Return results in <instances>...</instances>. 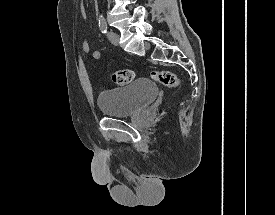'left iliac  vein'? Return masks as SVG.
<instances>
[{"label":"left iliac vein","instance_id":"obj_1","mask_svg":"<svg viewBox=\"0 0 275 215\" xmlns=\"http://www.w3.org/2000/svg\"><path fill=\"white\" fill-rule=\"evenodd\" d=\"M108 38L112 44H114V45L119 44V35L116 32H114V31L108 32Z\"/></svg>","mask_w":275,"mask_h":215}]
</instances>
